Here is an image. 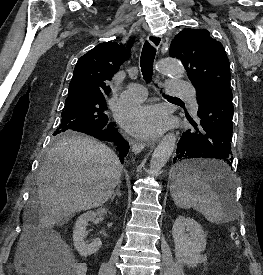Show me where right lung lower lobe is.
<instances>
[{
    "mask_svg": "<svg viewBox=\"0 0 263 275\" xmlns=\"http://www.w3.org/2000/svg\"><path fill=\"white\" fill-rule=\"evenodd\" d=\"M76 131L91 135L99 140H107L113 142L116 145V149L119 152L120 161L123 163L124 158L129 151L128 142L120 136L116 128H113V124H110L109 128L96 129V128H79Z\"/></svg>",
    "mask_w": 263,
    "mask_h": 275,
    "instance_id": "98d812e1",
    "label": "right lung lower lobe"
}]
</instances>
